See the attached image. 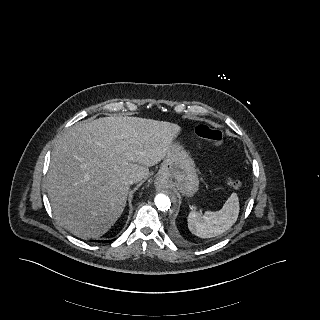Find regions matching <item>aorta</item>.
<instances>
[{
  "instance_id": "1",
  "label": "aorta",
  "mask_w": 320,
  "mask_h": 320,
  "mask_svg": "<svg viewBox=\"0 0 320 320\" xmlns=\"http://www.w3.org/2000/svg\"><path fill=\"white\" fill-rule=\"evenodd\" d=\"M177 206V201L170 192L159 193L154 198V212L158 216L170 214Z\"/></svg>"
}]
</instances>
